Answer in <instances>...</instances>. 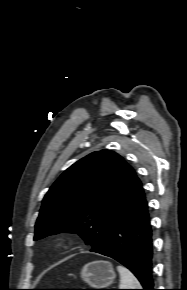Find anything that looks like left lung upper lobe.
Instances as JSON below:
<instances>
[{
	"label": "left lung upper lobe",
	"mask_w": 187,
	"mask_h": 290,
	"mask_svg": "<svg viewBox=\"0 0 187 290\" xmlns=\"http://www.w3.org/2000/svg\"><path fill=\"white\" fill-rule=\"evenodd\" d=\"M142 186L117 153L95 151L69 167L46 193L34 240L61 232L78 233L97 247Z\"/></svg>",
	"instance_id": "obj_1"
}]
</instances>
